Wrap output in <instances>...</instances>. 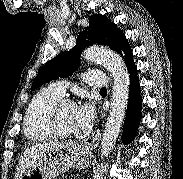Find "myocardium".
<instances>
[{
	"instance_id": "obj_1",
	"label": "myocardium",
	"mask_w": 183,
	"mask_h": 179,
	"mask_svg": "<svg viewBox=\"0 0 183 179\" xmlns=\"http://www.w3.org/2000/svg\"><path fill=\"white\" fill-rule=\"evenodd\" d=\"M66 105H75V102L68 98H60L51 106L47 114V126L49 128V131L54 137L68 138L78 134V131L77 132L62 131L59 129L57 125L58 114L60 110Z\"/></svg>"
}]
</instances>
